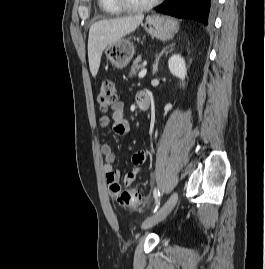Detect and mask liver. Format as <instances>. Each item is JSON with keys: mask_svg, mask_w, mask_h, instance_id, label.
Masks as SVG:
<instances>
[{"mask_svg": "<svg viewBox=\"0 0 265 269\" xmlns=\"http://www.w3.org/2000/svg\"><path fill=\"white\" fill-rule=\"evenodd\" d=\"M144 15L106 19L95 22L89 30L88 60L93 77L98 73L104 49L132 33L142 23Z\"/></svg>", "mask_w": 265, "mask_h": 269, "instance_id": "1", "label": "liver"}]
</instances>
